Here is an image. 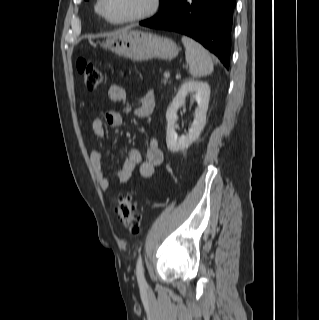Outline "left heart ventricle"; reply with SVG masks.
<instances>
[{
  "label": "left heart ventricle",
  "instance_id": "b2bd125f",
  "mask_svg": "<svg viewBox=\"0 0 319 320\" xmlns=\"http://www.w3.org/2000/svg\"><path fill=\"white\" fill-rule=\"evenodd\" d=\"M152 0H106L105 10L113 20L125 19L147 11Z\"/></svg>",
  "mask_w": 319,
  "mask_h": 320
}]
</instances>
